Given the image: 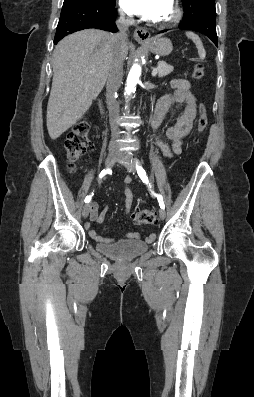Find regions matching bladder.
I'll list each match as a JSON object with an SVG mask.
<instances>
[{
    "label": "bladder",
    "instance_id": "obj_1",
    "mask_svg": "<svg viewBox=\"0 0 254 397\" xmlns=\"http://www.w3.org/2000/svg\"><path fill=\"white\" fill-rule=\"evenodd\" d=\"M98 251L116 260H128L142 255L148 249V244L140 239L119 241L112 244L99 243Z\"/></svg>",
    "mask_w": 254,
    "mask_h": 397
}]
</instances>
